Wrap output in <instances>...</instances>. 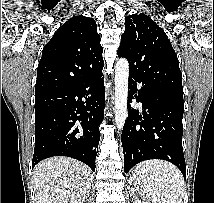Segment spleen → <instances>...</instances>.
<instances>
[{"mask_svg": "<svg viewBox=\"0 0 214 203\" xmlns=\"http://www.w3.org/2000/svg\"><path fill=\"white\" fill-rule=\"evenodd\" d=\"M132 182L145 203H183V176L168 162L149 160L138 164Z\"/></svg>", "mask_w": 214, "mask_h": 203, "instance_id": "1", "label": "spleen"}]
</instances>
